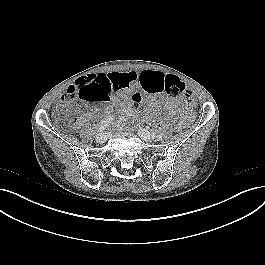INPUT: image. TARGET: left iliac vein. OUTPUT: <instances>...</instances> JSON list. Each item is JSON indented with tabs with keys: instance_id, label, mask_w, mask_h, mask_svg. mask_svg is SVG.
Masks as SVG:
<instances>
[{
	"instance_id": "left-iliac-vein-1",
	"label": "left iliac vein",
	"mask_w": 265,
	"mask_h": 265,
	"mask_svg": "<svg viewBox=\"0 0 265 265\" xmlns=\"http://www.w3.org/2000/svg\"><path fill=\"white\" fill-rule=\"evenodd\" d=\"M138 134H139V136H140L143 140H145V141H152V140H153V136H152L151 133H150L148 130H146V129H140V130L138 131Z\"/></svg>"
}]
</instances>
